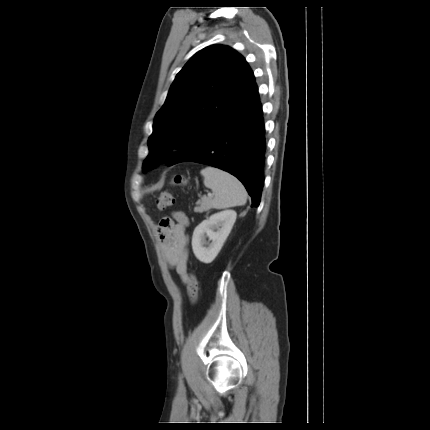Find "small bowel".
<instances>
[{
    "label": "small bowel",
    "mask_w": 430,
    "mask_h": 430,
    "mask_svg": "<svg viewBox=\"0 0 430 430\" xmlns=\"http://www.w3.org/2000/svg\"><path fill=\"white\" fill-rule=\"evenodd\" d=\"M187 223L185 214L176 211L173 213V218H163L157 228L164 259L185 285H188V236L185 231Z\"/></svg>",
    "instance_id": "small-bowel-1"
}]
</instances>
